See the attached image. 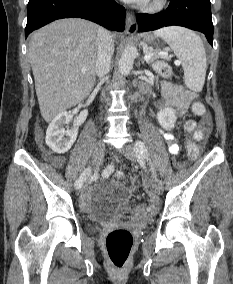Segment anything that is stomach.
Segmentation results:
<instances>
[{
	"label": "stomach",
	"mask_w": 233,
	"mask_h": 284,
	"mask_svg": "<svg viewBox=\"0 0 233 284\" xmlns=\"http://www.w3.org/2000/svg\"><path fill=\"white\" fill-rule=\"evenodd\" d=\"M143 39L146 43L151 45H154L156 43V37L152 34H145Z\"/></svg>",
	"instance_id": "obj_1"
}]
</instances>
